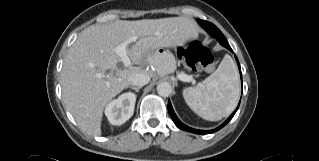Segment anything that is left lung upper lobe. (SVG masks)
I'll return each instance as SVG.
<instances>
[{
    "instance_id": "1",
    "label": "left lung upper lobe",
    "mask_w": 319,
    "mask_h": 161,
    "mask_svg": "<svg viewBox=\"0 0 319 161\" xmlns=\"http://www.w3.org/2000/svg\"><path fill=\"white\" fill-rule=\"evenodd\" d=\"M206 24L210 28H214L215 27V25H213L210 22L206 21ZM212 36L215 37L220 42L221 45H224V44L228 43L227 40L225 39L224 35L222 34V32L220 30H217L216 34H213Z\"/></svg>"
}]
</instances>
